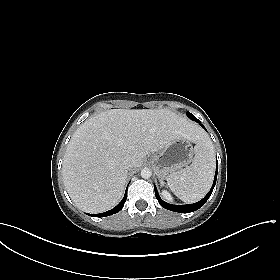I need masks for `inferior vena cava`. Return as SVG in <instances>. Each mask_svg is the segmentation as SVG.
Returning a JSON list of instances; mask_svg holds the SVG:
<instances>
[{
    "label": "inferior vena cava",
    "mask_w": 280,
    "mask_h": 280,
    "mask_svg": "<svg viewBox=\"0 0 280 280\" xmlns=\"http://www.w3.org/2000/svg\"><path fill=\"white\" fill-rule=\"evenodd\" d=\"M134 163H135V159L133 156H126L123 161V164L126 169H131L134 166Z\"/></svg>",
    "instance_id": "602c4592"
}]
</instances>
